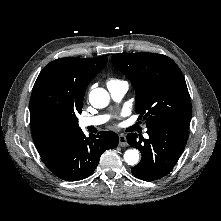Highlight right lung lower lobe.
Segmentation results:
<instances>
[{
  "mask_svg": "<svg viewBox=\"0 0 221 221\" xmlns=\"http://www.w3.org/2000/svg\"><path fill=\"white\" fill-rule=\"evenodd\" d=\"M119 137L111 131L86 137L80 131L59 142L38 148L46 167L66 181L82 180L96 169L100 156L118 145Z\"/></svg>",
  "mask_w": 221,
  "mask_h": 221,
  "instance_id": "1",
  "label": "right lung lower lobe"
}]
</instances>
